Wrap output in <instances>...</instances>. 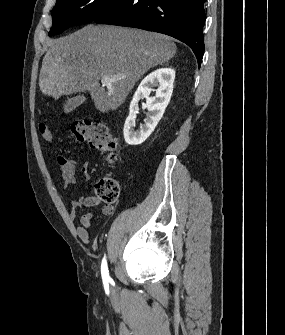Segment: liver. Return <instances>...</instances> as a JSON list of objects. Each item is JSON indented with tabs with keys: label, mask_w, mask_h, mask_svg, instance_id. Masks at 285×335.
<instances>
[{
	"label": "liver",
	"mask_w": 285,
	"mask_h": 335,
	"mask_svg": "<svg viewBox=\"0 0 285 335\" xmlns=\"http://www.w3.org/2000/svg\"><path fill=\"white\" fill-rule=\"evenodd\" d=\"M39 76L44 96L59 100L89 92L96 110L108 114L125 102L136 82L176 54L172 38L121 26H84L70 36L48 40ZM126 74L123 80L100 86L102 76Z\"/></svg>",
	"instance_id": "1"
}]
</instances>
